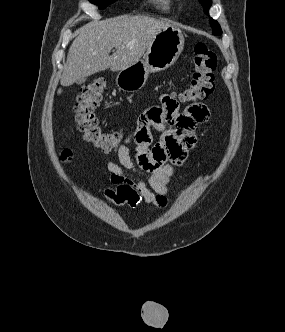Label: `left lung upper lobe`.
Masks as SVG:
<instances>
[{"mask_svg":"<svg viewBox=\"0 0 285 332\" xmlns=\"http://www.w3.org/2000/svg\"><path fill=\"white\" fill-rule=\"evenodd\" d=\"M199 1H200L201 5L203 6V11L207 15H209V8H210V6L212 4V0H199ZM209 22H210V25H211V27L213 29V34L214 35H220V34H222L221 27H220V25L218 24L217 21H215L212 18H210Z\"/></svg>","mask_w":285,"mask_h":332,"instance_id":"1","label":"left lung upper lobe"}]
</instances>
